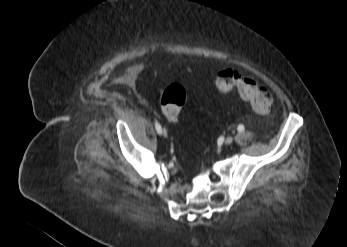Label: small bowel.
<instances>
[{"label": "small bowel", "mask_w": 347, "mask_h": 247, "mask_svg": "<svg viewBox=\"0 0 347 247\" xmlns=\"http://www.w3.org/2000/svg\"><path fill=\"white\" fill-rule=\"evenodd\" d=\"M137 76V70L135 66H131L126 70V74L123 77L126 84L133 86L135 83V78Z\"/></svg>", "instance_id": "c3829d8e"}]
</instances>
